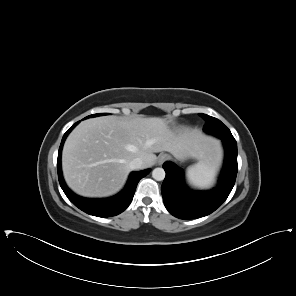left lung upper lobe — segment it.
<instances>
[{
    "label": "left lung upper lobe",
    "instance_id": "1",
    "mask_svg": "<svg viewBox=\"0 0 296 296\" xmlns=\"http://www.w3.org/2000/svg\"><path fill=\"white\" fill-rule=\"evenodd\" d=\"M205 120L206 124L203 129L205 132L215 135L221 139L234 138L230 130L218 119L206 114H200Z\"/></svg>",
    "mask_w": 296,
    "mask_h": 296
}]
</instances>
